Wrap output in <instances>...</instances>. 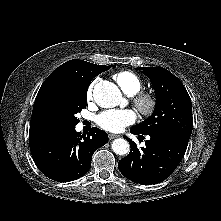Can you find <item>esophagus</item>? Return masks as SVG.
I'll use <instances>...</instances> for the list:
<instances>
[{
	"label": "esophagus",
	"instance_id": "34e87169",
	"mask_svg": "<svg viewBox=\"0 0 221 221\" xmlns=\"http://www.w3.org/2000/svg\"><path fill=\"white\" fill-rule=\"evenodd\" d=\"M118 137H119V135H117V134H109V140H112V139H115Z\"/></svg>",
	"mask_w": 221,
	"mask_h": 221
}]
</instances>
